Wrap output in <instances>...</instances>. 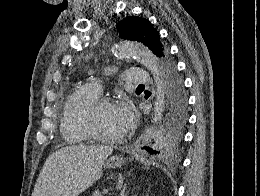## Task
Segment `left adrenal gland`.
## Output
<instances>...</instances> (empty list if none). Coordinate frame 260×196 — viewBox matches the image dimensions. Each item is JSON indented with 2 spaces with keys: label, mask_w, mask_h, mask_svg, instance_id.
I'll list each match as a JSON object with an SVG mask.
<instances>
[{
  "label": "left adrenal gland",
  "mask_w": 260,
  "mask_h": 196,
  "mask_svg": "<svg viewBox=\"0 0 260 196\" xmlns=\"http://www.w3.org/2000/svg\"><path fill=\"white\" fill-rule=\"evenodd\" d=\"M125 190H126V184H124V186L120 192V196H127V194H125Z\"/></svg>",
  "instance_id": "1"
}]
</instances>
